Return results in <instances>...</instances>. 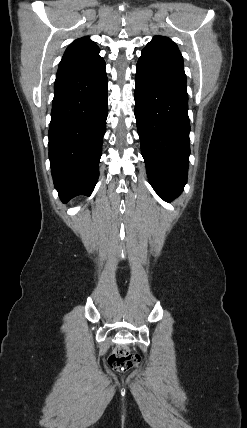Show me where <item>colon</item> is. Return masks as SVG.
Returning a JSON list of instances; mask_svg holds the SVG:
<instances>
[{
    "label": "colon",
    "instance_id": "obj_1",
    "mask_svg": "<svg viewBox=\"0 0 247 428\" xmlns=\"http://www.w3.org/2000/svg\"><path fill=\"white\" fill-rule=\"evenodd\" d=\"M140 362V356L125 345L118 346L108 358V364L116 370H128Z\"/></svg>",
    "mask_w": 247,
    "mask_h": 428
}]
</instances>
